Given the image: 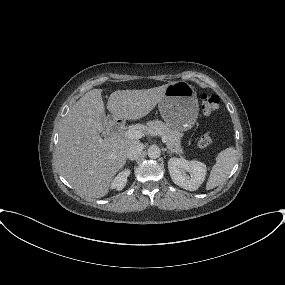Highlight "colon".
<instances>
[{
	"mask_svg": "<svg viewBox=\"0 0 285 285\" xmlns=\"http://www.w3.org/2000/svg\"><path fill=\"white\" fill-rule=\"evenodd\" d=\"M220 105V99L213 94H203L201 96V111L205 115H210L215 112ZM212 143V136L209 132H202L200 134L198 144L202 148L210 146Z\"/></svg>",
	"mask_w": 285,
	"mask_h": 285,
	"instance_id": "colon-1",
	"label": "colon"
}]
</instances>
